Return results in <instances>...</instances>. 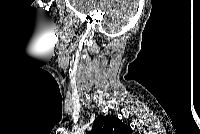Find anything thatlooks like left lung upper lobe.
<instances>
[{"mask_svg":"<svg viewBox=\"0 0 200 134\" xmlns=\"http://www.w3.org/2000/svg\"><path fill=\"white\" fill-rule=\"evenodd\" d=\"M131 128L115 116H99L87 134H131Z\"/></svg>","mask_w":200,"mask_h":134,"instance_id":"left-lung-upper-lobe-1","label":"left lung upper lobe"}]
</instances>
